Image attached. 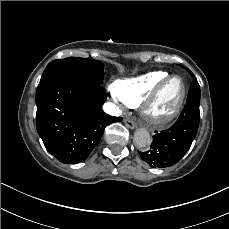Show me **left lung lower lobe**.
<instances>
[{
	"mask_svg": "<svg viewBox=\"0 0 229 229\" xmlns=\"http://www.w3.org/2000/svg\"><path fill=\"white\" fill-rule=\"evenodd\" d=\"M186 105L178 120L169 129L153 136L150 150L139 152L141 158L152 168L176 164L188 151L196 137L200 120V87L194 74Z\"/></svg>",
	"mask_w": 229,
	"mask_h": 229,
	"instance_id": "1",
	"label": "left lung lower lobe"
}]
</instances>
